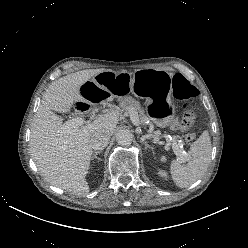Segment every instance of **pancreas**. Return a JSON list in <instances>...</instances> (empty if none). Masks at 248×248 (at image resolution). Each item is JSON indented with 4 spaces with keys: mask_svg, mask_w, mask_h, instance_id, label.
<instances>
[{
    "mask_svg": "<svg viewBox=\"0 0 248 248\" xmlns=\"http://www.w3.org/2000/svg\"><path fill=\"white\" fill-rule=\"evenodd\" d=\"M121 107L128 112L133 109L139 113V120L141 123H145L148 120V117L144 114L139 102L130 96L123 99L121 102Z\"/></svg>",
    "mask_w": 248,
    "mask_h": 248,
    "instance_id": "pancreas-1",
    "label": "pancreas"
}]
</instances>
